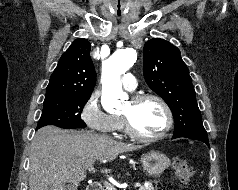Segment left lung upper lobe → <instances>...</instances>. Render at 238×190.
<instances>
[{
  "mask_svg": "<svg viewBox=\"0 0 238 190\" xmlns=\"http://www.w3.org/2000/svg\"><path fill=\"white\" fill-rule=\"evenodd\" d=\"M143 53L145 80L170 107L175 121L174 134L207 136L192 79L179 49L164 39L153 38L145 43Z\"/></svg>",
  "mask_w": 238,
  "mask_h": 190,
  "instance_id": "5c2ea615",
  "label": "left lung upper lobe"
}]
</instances>
